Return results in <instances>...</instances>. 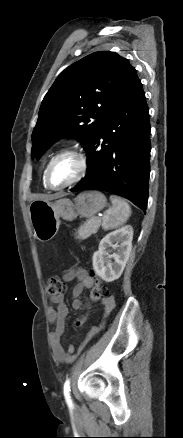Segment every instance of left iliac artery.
<instances>
[{"mask_svg": "<svg viewBox=\"0 0 183 438\" xmlns=\"http://www.w3.org/2000/svg\"><path fill=\"white\" fill-rule=\"evenodd\" d=\"M64 396H65L67 404L69 406H71L72 405V400H71V397H70V380L69 379H67L65 381V383H64Z\"/></svg>", "mask_w": 183, "mask_h": 438, "instance_id": "left-iliac-artery-1", "label": "left iliac artery"}]
</instances>
